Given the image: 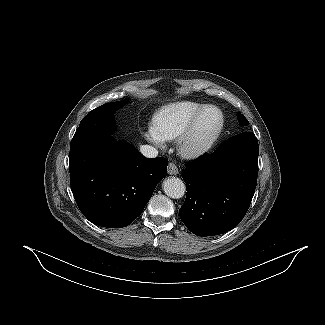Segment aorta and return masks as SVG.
<instances>
[{
    "label": "aorta",
    "mask_w": 325,
    "mask_h": 325,
    "mask_svg": "<svg viewBox=\"0 0 325 325\" xmlns=\"http://www.w3.org/2000/svg\"><path fill=\"white\" fill-rule=\"evenodd\" d=\"M164 193L174 199H179L185 194V184L184 182L176 177L167 178L163 182Z\"/></svg>",
    "instance_id": "1"
}]
</instances>
